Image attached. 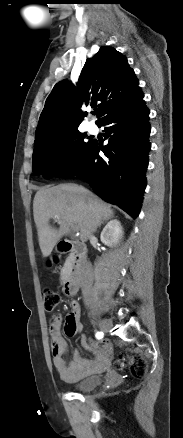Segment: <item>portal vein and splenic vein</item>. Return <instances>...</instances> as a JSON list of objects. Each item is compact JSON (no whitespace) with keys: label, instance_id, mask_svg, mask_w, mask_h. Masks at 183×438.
Segmentation results:
<instances>
[{"label":"portal vein and splenic vein","instance_id":"18ae733b","mask_svg":"<svg viewBox=\"0 0 183 438\" xmlns=\"http://www.w3.org/2000/svg\"><path fill=\"white\" fill-rule=\"evenodd\" d=\"M58 218V217H57ZM73 228L74 231H76L77 229L75 228V226H71Z\"/></svg>","mask_w":183,"mask_h":438}]
</instances>
